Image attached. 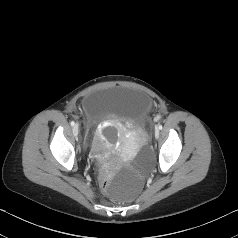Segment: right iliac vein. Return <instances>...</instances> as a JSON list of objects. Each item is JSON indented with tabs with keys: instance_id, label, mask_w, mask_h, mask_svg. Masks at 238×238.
Wrapping results in <instances>:
<instances>
[{
	"instance_id": "1",
	"label": "right iliac vein",
	"mask_w": 238,
	"mask_h": 238,
	"mask_svg": "<svg viewBox=\"0 0 238 238\" xmlns=\"http://www.w3.org/2000/svg\"><path fill=\"white\" fill-rule=\"evenodd\" d=\"M73 134H74V136H77L79 134V125L78 124H75L73 126Z\"/></svg>"
}]
</instances>
